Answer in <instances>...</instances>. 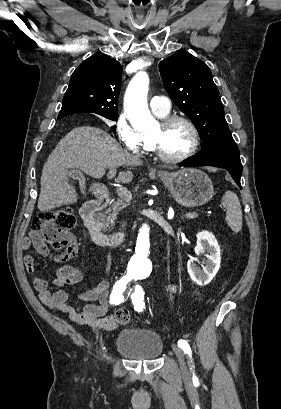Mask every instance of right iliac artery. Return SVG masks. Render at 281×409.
I'll list each match as a JSON object with an SVG mask.
<instances>
[{"label":"right iliac artery","mask_w":281,"mask_h":409,"mask_svg":"<svg viewBox=\"0 0 281 409\" xmlns=\"http://www.w3.org/2000/svg\"><path fill=\"white\" fill-rule=\"evenodd\" d=\"M132 280L131 276H123L120 278L115 285L110 295V303L113 305H119L120 303L126 301L130 295V290L128 283Z\"/></svg>","instance_id":"obj_1"}]
</instances>
